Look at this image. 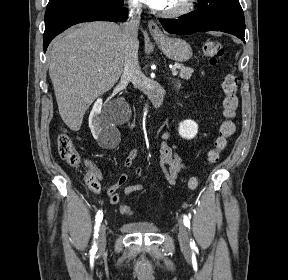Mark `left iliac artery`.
<instances>
[{"label": "left iliac artery", "mask_w": 288, "mask_h": 280, "mask_svg": "<svg viewBox=\"0 0 288 280\" xmlns=\"http://www.w3.org/2000/svg\"><path fill=\"white\" fill-rule=\"evenodd\" d=\"M183 222H184L185 226L190 229V219L186 214L183 215ZM190 246L193 250H196L195 242L192 239L190 241Z\"/></svg>", "instance_id": "obj_1"}]
</instances>
